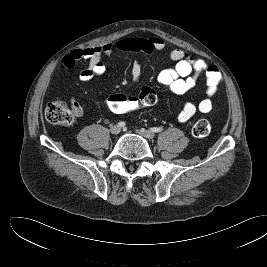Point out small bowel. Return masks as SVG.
Masks as SVG:
<instances>
[{
	"instance_id": "small-bowel-1",
	"label": "small bowel",
	"mask_w": 267,
	"mask_h": 267,
	"mask_svg": "<svg viewBox=\"0 0 267 267\" xmlns=\"http://www.w3.org/2000/svg\"><path fill=\"white\" fill-rule=\"evenodd\" d=\"M166 49L165 42L158 37L140 38L129 37L104 45L75 49L65 55L59 62V69L63 72L70 71L79 60H87L89 66L79 72L78 78L82 82H89L103 76L106 67L102 62V56L114 51L128 53L152 54L162 52ZM169 58L175 62L172 68L164 69L157 75V82L175 94H184L192 89L200 78L206 82V97L197 104L186 101L182 110L178 114L179 123H186L196 112L209 113L213 108L212 99L222 82V75L217 66L208 64L202 58H195L188 52L180 49H171L168 53ZM142 75V65L139 60H135L131 69L133 81L138 82ZM71 107L79 116L82 107L71 98Z\"/></svg>"
}]
</instances>
